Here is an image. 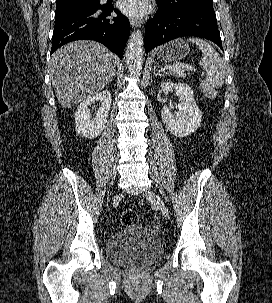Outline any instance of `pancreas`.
Listing matches in <instances>:
<instances>
[{
  "label": "pancreas",
  "mask_w": 272,
  "mask_h": 303,
  "mask_svg": "<svg viewBox=\"0 0 272 303\" xmlns=\"http://www.w3.org/2000/svg\"><path fill=\"white\" fill-rule=\"evenodd\" d=\"M168 74L177 77H186L187 73L183 69H170Z\"/></svg>",
  "instance_id": "1"
}]
</instances>
